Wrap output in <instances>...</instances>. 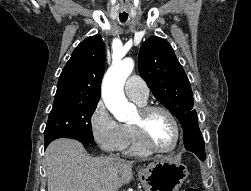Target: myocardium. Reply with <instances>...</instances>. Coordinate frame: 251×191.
<instances>
[{"label": "myocardium", "mask_w": 251, "mask_h": 191, "mask_svg": "<svg viewBox=\"0 0 251 191\" xmlns=\"http://www.w3.org/2000/svg\"><path fill=\"white\" fill-rule=\"evenodd\" d=\"M139 111L142 113L143 119L138 123H133L132 127L134 128L140 143L146 149H148L151 153H155V154H159V155H173V154L177 153L182 146L183 133H182V129L179 124V121H178L177 117L175 116V114L171 110H169L168 108H166L164 106H158V105H142L140 107ZM157 111L165 113L172 120V122L174 124L175 130L177 133V143L172 150H169V151L159 150V149L155 148L148 139L147 130H146L147 119L153 113H155Z\"/></svg>", "instance_id": "1"}]
</instances>
